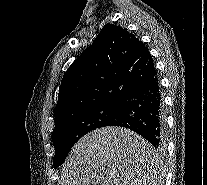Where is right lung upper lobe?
Segmentation results:
<instances>
[{
    "instance_id": "right-lung-upper-lobe-1",
    "label": "right lung upper lobe",
    "mask_w": 207,
    "mask_h": 185,
    "mask_svg": "<svg viewBox=\"0 0 207 185\" xmlns=\"http://www.w3.org/2000/svg\"><path fill=\"white\" fill-rule=\"evenodd\" d=\"M156 75L145 44L127 29L108 23L64 74L55 121L104 104H121Z\"/></svg>"
}]
</instances>
